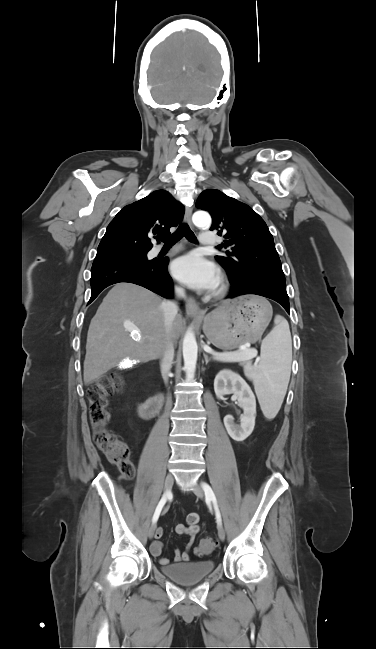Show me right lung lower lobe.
<instances>
[{
	"label": "right lung lower lobe",
	"instance_id": "98d812e1",
	"mask_svg": "<svg viewBox=\"0 0 376 649\" xmlns=\"http://www.w3.org/2000/svg\"><path fill=\"white\" fill-rule=\"evenodd\" d=\"M168 258L151 261L109 260L91 268V303L109 285L129 282L143 286L165 298L173 297V283L167 272Z\"/></svg>",
	"mask_w": 376,
	"mask_h": 649
}]
</instances>
